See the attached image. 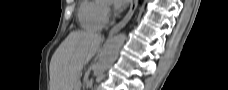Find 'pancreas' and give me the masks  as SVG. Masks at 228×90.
Here are the masks:
<instances>
[{
	"label": "pancreas",
	"mask_w": 228,
	"mask_h": 90,
	"mask_svg": "<svg viewBox=\"0 0 228 90\" xmlns=\"http://www.w3.org/2000/svg\"><path fill=\"white\" fill-rule=\"evenodd\" d=\"M77 87L80 86V80H78L77 84H76Z\"/></svg>",
	"instance_id": "pancreas-1"
}]
</instances>
